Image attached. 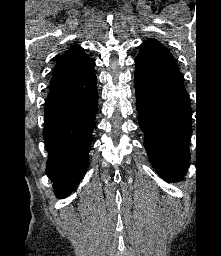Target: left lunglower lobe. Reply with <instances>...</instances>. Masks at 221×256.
<instances>
[{"label": "left lung lower lobe", "mask_w": 221, "mask_h": 256, "mask_svg": "<svg viewBox=\"0 0 221 256\" xmlns=\"http://www.w3.org/2000/svg\"><path fill=\"white\" fill-rule=\"evenodd\" d=\"M139 126L144 147L161 177L183 179L190 161L191 108L179 71L134 74Z\"/></svg>", "instance_id": "obj_1"}]
</instances>
